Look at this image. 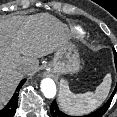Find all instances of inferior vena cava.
Returning a JSON list of instances; mask_svg holds the SVG:
<instances>
[{"mask_svg": "<svg viewBox=\"0 0 117 117\" xmlns=\"http://www.w3.org/2000/svg\"><path fill=\"white\" fill-rule=\"evenodd\" d=\"M20 71L23 73V74H26L29 72V69L28 68H21Z\"/></svg>", "mask_w": 117, "mask_h": 117, "instance_id": "inferior-vena-cava-1", "label": "inferior vena cava"}]
</instances>
